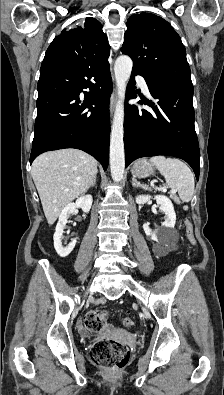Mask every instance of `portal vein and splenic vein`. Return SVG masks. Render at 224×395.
I'll use <instances>...</instances> for the list:
<instances>
[{
  "label": "portal vein and splenic vein",
  "instance_id": "obj_1",
  "mask_svg": "<svg viewBox=\"0 0 224 395\" xmlns=\"http://www.w3.org/2000/svg\"><path fill=\"white\" fill-rule=\"evenodd\" d=\"M163 190L165 191V190H166V188H163ZM172 192H174V191H172Z\"/></svg>",
  "mask_w": 224,
  "mask_h": 395
}]
</instances>
